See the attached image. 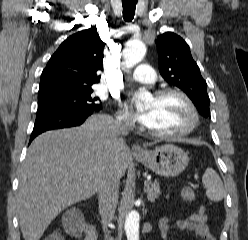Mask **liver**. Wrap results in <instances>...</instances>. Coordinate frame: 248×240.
<instances>
[{
  "mask_svg": "<svg viewBox=\"0 0 248 240\" xmlns=\"http://www.w3.org/2000/svg\"><path fill=\"white\" fill-rule=\"evenodd\" d=\"M113 122L92 115L79 127L48 131L31 143L17 195L25 240H39L61 211L93 196L110 165L124 176L129 151L123 139L118 145L110 140Z\"/></svg>",
  "mask_w": 248,
  "mask_h": 240,
  "instance_id": "6515ba94",
  "label": "liver"
}]
</instances>
